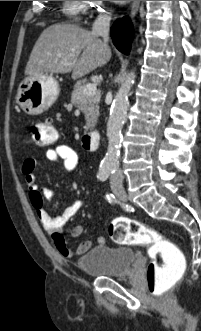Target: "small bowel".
<instances>
[{"label":"small bowel","mask_w":201,"mask_h":331,"mask_svg":"<svg viewBox=\"0 0 201 331\" xmlns=\"http://www.w3.org/2000/svg\"><path fill=\"white\" fill-rule=\"evenodd\" d=\"M46 158L53 163H62L67 173L73 172L78 162L76 152L64 144H57L53 148L48 149L46 151ZM36 166V159H27L22 163L21 173L28 187L29 200L43 228L52 235L53 243L62 256L70 258L83 255L91 248V241H84L76 248H72L67 244L63 235V228L82 209L83 201L77 200L67 207L61 215L51 217L44 207V198L51 199L53 193L38 185L34 173ZM83 231V227L77 225L72 229L71 236L78 238L83 234ZM97 242L104 243V238L102 236L98 237Z\"/></svg>","instance_id":"small-bowel-1"}]
</instances>
